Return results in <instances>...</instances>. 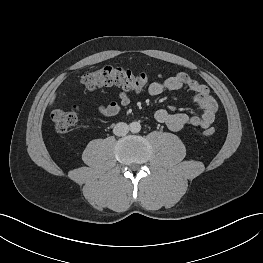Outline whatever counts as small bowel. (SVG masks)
<instances>
[{
    "label": "small bowel",
    "instance_id": "obj_1",
    "mask_svg": "<svg viewBox=\"0 0 263 263\" xmlns=\"http://www.w3.org/2000/svg\"><path fill=\"white\" fill-rule=\"evenodd\" d=\"M184 87L194 93V101L200 109V114L189 115L182 112L172 113L166 109H159L155 112V120L167 126L172 131H179L185 126L207 129L215 120L217 102L210 95L207 86L201 84L188 74L179 72L168 78H164L159 74L157 79L149 85L148 93L151 96H158L165 90L176 91ZM118 98V102H110L107 104L95 102V108L105 117L115 116L130 103L129 96L124 90L118 92Z\"/></svg>",
    "mask_w": 263,
    "mask_h": 263
}]
</instances>
